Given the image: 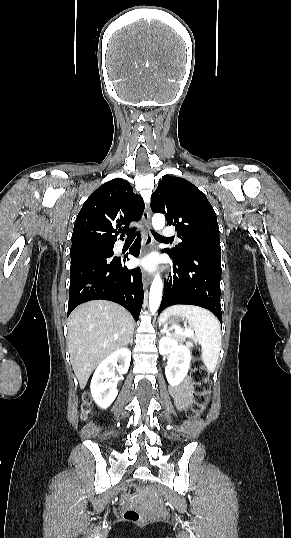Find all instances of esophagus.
Returning a JSON list of instances; mask_svg holds the SVG:
<instances>
[{
    "label": "esophagus",
    "instance_id": "obj_1",
    "mask_svg": "<svg viewBox=\"0 0 291 538\" xmlns=\"http://www.w3.org/2000/svg\"><path fill=\"white\" fill-rule=\"evenodd\" d=\"M143 221H144V229H145L144 230L145 231V244L147 247L151 248L153 246V237L151 233V209L149 206L146 208L144 212ZM142 280H143V285L146 288L151 281V277L145 271H143Z\"/></svg>",
    "mask_w": 291,
    "mask_h": 538
}]
</instances>
